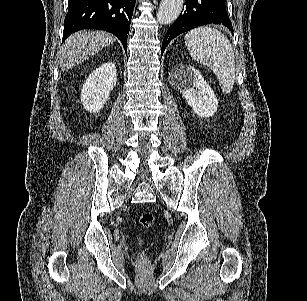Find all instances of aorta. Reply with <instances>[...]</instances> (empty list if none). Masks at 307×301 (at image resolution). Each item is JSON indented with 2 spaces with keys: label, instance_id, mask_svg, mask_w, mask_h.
<instances>
[{
  "label": "aorta",
  "instance_id": "obj_1",
  "mask_svg": "<svg viewBox=\"0 0 307 301\" xmlns=\"http://www.w3.org/2000/svg\"><path fill=\"white\" fill-rule=\"evenodd\" d=\"M184 0H161L156 14L160 24H171L179 16Z\"/></svg>",
  "mask_w": 307,
  "mask_h": 301
}]
</instances>
